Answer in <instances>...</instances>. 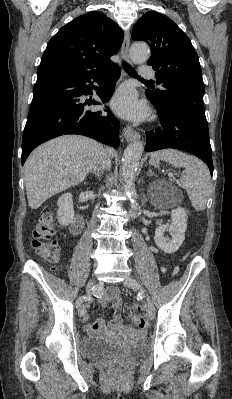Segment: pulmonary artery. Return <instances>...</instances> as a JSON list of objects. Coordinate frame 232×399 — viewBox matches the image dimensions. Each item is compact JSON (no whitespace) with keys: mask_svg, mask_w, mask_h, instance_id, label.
Here are the masks:
<instances>
[{"mask_svg":"<svg viewBox=\"0 0 232 399\" xmlns=\"http://www.w3.org/2000/svg\"><path fill=\"white\" fill-rule=\"evenodd\" d=\"M142 68H145V65H142ZM154 74V69H143L141 78L142 80H153Z\"/></svg>","mask_w":232,"mask_h":399,"instance_id":"e3ab8cb5","label":"pulmonary artery"}]
</instances>
